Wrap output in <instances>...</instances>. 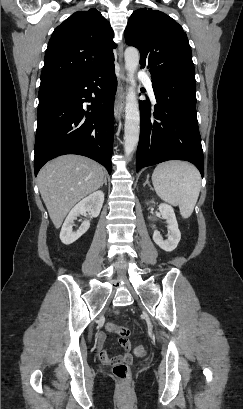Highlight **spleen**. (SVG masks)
Masks as SVG:
<instances>
[{"instance_id":"obj_1","label":"spleen","mask_w":243,"mask_h":409,"mask_svg":"<svg viewBox=\"0 0 243 409\" xmlns=\"http://www.w3.org/2000/svg\"><path fill=\"white\" fill-rule=\"evenodd\" d=\"M157 195L165 202L179 206L181 216H191L201 188L199 171L183 161H168L157 165L152 174Z\"/></svg>"}]
</instances>
